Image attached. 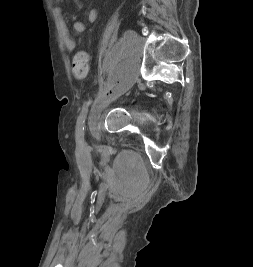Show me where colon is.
<instances>
[{
    "label": "colon",
    "mask_w": 253,
    "mask_h": 267,
    "mask_svg": "<svg viewBox=\"0 0 253 267\" xmlns=\"http://www.w3.org/2000/svg\"><path fill=\"white\" fill-rule=\"evenodd\" d=\"M72 72L75 78L83 79L88 73V55L84 51L77 52L72 60Z\"/></svg>",
    "instance_id": "colon-1"
}]
</instances>
